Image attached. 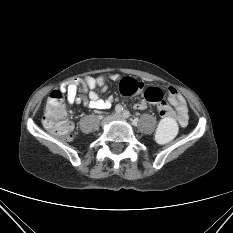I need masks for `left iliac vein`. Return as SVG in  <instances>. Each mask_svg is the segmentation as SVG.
<instances>
[{
  "label": "left iliac vein",
  "mask_w": 233,
  "mask_h": 233,
  "mask_svg": "<svg viewBox=\"0 0 233 233\" xmlns=\"http://www.w3.org/2000/svg\"><path fill=\"white\" fill-rule=\"evenodd\" d=\"M123 119V116L122 115H117L116 117H115V120H122Z\"/></svg>",
  "instance_id": "left-iliac-vein-1"
}]
</instances>
